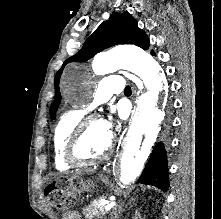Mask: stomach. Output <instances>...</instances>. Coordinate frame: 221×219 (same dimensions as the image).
Listing matches in <instances>:
<instances>
[{
	"mask_svg": "<svg viewBox=\"0 0 221 219\" xmlns=\"http://www.w3.org/2000/svg\"><path fill=\"white\" fill-rule=\"evenodd\" d=\"M72 183H80V178H72ZM92 188H94V186L93 185H91V184H86V183H84L83 184V187H82V189H84L85 191H90Z\"/></svg>",
	"mask_w": 221,
	"mask_h": 219,
	"instance_id": "0dacf381",
	"label": "stomach"
}]
</instances>
